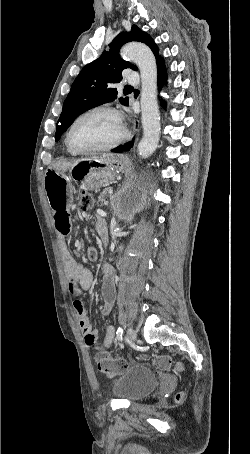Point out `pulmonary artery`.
<instances>
[{
	"mask_svg": "<svg viewBox=\"0 0 250 454\" xmlns=\"http://www.w3.org/2000/svg\"><path fill=\"white\" fill-rule=\"evenodd\" d=\"M125 81L129 84H137L139 82V75L136 72H130Z\"/></svg>",
	"mask_w": 250,
	"mask_h": 454,
	"instance_id": "e3ab8cb5",
	"label": "pulmonary artery"
}]
</instances>
